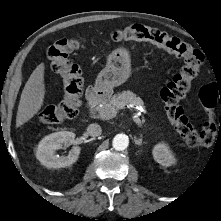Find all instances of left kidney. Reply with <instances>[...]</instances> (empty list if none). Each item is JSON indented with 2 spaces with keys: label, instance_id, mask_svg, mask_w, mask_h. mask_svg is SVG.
Instances as JSON below:
<instances>
[{
  "label": "left kidney",
  "instance_id": "1",
  "mask_svg": "<svg viewBox=\"0 0 221 221\" xmlns=\"http://www.w3.org/2000/svg\"><path fill=\"white\" fill-rule=\"evenodd\" d=\"M152 154L154 160L162 166L169 167L176 163V158L173 152L170 150L169 146L164 142L156 144L152 150Z\"/></svg>",
  "mask_w": 221,
  "mask_h": 221
}]
</instances>
